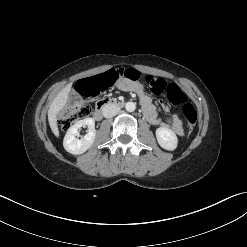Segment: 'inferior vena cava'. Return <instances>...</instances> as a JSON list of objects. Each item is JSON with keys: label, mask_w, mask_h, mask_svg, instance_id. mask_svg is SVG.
<instances>
[{"label": "inferior vena cava", "mask_w": 247, "mask_h": 247, "mask_svg": "<svg viewBox=\"0 0 247 247\" xmlns=\"http://www.w3.org/2000/svg\"><path fill=\"white\" fill-rule=\"evenodd\" d=\"M119 111H120V107L113 103H108L104 105L102 108V113L105 118L113 117L117 115Z\"/></svg>", "instance_id": "1"}]
</instances>
